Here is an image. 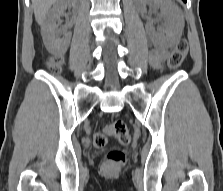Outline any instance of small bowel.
<instances>
[{"mask_svg":"<svg viewBox=\"0 0 223 191\" xmlns=\"http://www.w3.org/2000/svg\"><path fill=\"white\" fill-rule=\"evenodd\" d=\"M167 55L166 49L161 47L155 48L149 54V62L154 68L161 69L164 66Z\"/></svg>","mask_w":223,"mask_h":191,"instance_id":"obj_1","label":"small bowel"}]
</instances>
